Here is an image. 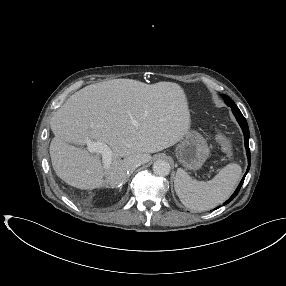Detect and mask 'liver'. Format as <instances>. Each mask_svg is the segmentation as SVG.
<instances>
[{
	"label": "liver",
	"mask_w": 286,
	"mask_h": 286,
	"mask_svg": "<svg viewBox=\"0 0 286 286\" xmlns=\"http://www.w3.org/2000/svg\"><path fill=\"white\" fill-rule=\"evenodd\" d=\"M50 127L55 137L49 153L56 175L70 186L92 190L122 186L133 160L145 164L150 153L179 142L189 131L190 112L186 94L176 83L114 79L70 96L54 113ZM88 141L110 147L109 168L98 154L69 144Z\"/></svg>",
	"instance_id": "liver-1"
}]
</instances>
